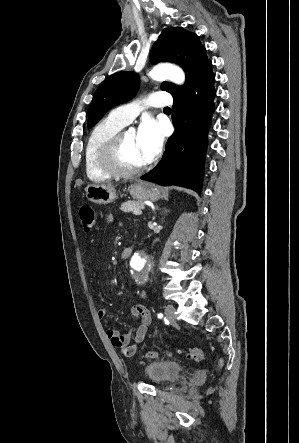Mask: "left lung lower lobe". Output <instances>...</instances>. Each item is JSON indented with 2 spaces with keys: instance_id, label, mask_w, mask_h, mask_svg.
Here are the masks:
<instances>
[{
  "instance_id": "0a47b994",
  "label": "left lung lower lobe",
  "mask_w": 299,
  "mask_h": 443,
  "mask_svg": "<svg viewBox=\"0 0 299 443\" xmlns=\"http://www.w3.org/2000/svg\"><path fill=\"white\" fill-rule=\"evenodd\" d=\"M214 74L207 62L183 91L173 96L174 134L158 165L141 179L179 185L200 193L207 131L214 112Z\"/></svg>"
}]
</instances>
